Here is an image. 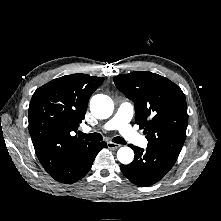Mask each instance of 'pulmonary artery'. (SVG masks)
<instances>
[{
    "label": "pulmonary artery",
    "instance_id": "e3ab8cb5",
    "mask_svg": "<svg viewBox=\"0 0 221 221\" xmlns=\"http://www.w3.org/2000/svg\"><path fill=\"white\" fill-rule=\"evenodd\" d=\"M134 115V106L130 102H122L114 116L109 119L101 129L104 131L118 130L119 133L129 142L138 145L145 146L146 139L137 133L130 125V121ZM89 130V129H87Z\"/></svg>",
    "mask_w": 221,
    "mask_h": 221
}]
</instances>
